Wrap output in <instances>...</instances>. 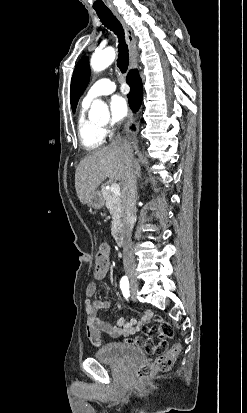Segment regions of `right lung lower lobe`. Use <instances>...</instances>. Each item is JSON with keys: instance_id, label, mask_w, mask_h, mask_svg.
<instances>
[{"instance_id": "98d812e1", "label": "right lung lower lobe", "mask_w": 247, "mask_h": 413, "mask_svg": "<svg viewBox=\"0 0 247 413\" xmlns=\"http://www.w3.org/2000/svg\"><path fill=\"white\" fill-rule=\"evenodd\" d=\"M126 81L131 88V91L128 94L129 105L133 111H137L141 105L143 97L142 82L138 72L135 70L134 72L129 73Z\"/></svg>"}]
</instances>
